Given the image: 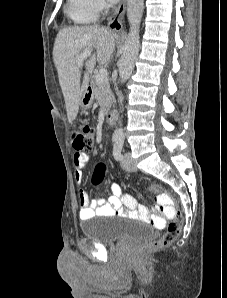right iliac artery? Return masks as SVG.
Instances as JSON below:
<instances>
[{"label":"right iliac artery","mask_w":227,"mask_h":298,"mask_svg":"<svg viewBox=\"0 0 227 298\" xmlns=\"http://www.w3.org/2000/svg\"><path fill=\"white\" fill-rule=\"evenodd\" d=\"M118 139H119V138L115 137V138H114V141H116V140H118Z\"/></svg>","instance_id":"1"}]
</instances>
